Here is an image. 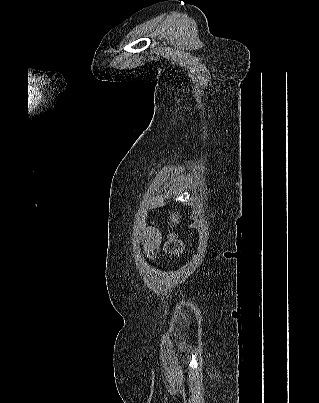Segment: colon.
<instances>
[{
  "mask_svg": "<svg viewBox=\"0 0 319 403\" xmlns=\"http://www.w3.org/2000/svg\"><path fill=\"white\" fill-rule=\"evenodd\" d=\"M148 234H149L148 243L151 247H154L158 241L157 234L153 230H149ZM166 249L174 253L175 255H180L184 251V246L179 240L171 238L166 244Z\"/></svg>",
  "mask_w": 319,
  "mask_h": 403,
  "instance_id": "colon-1",
  "label": "colon"
}]
</instances>
